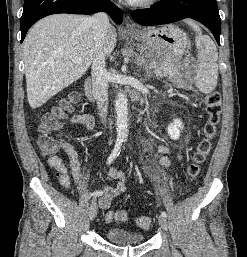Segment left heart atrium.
Masks as SVG:
<instances>
[{
    "label": "left heart atrium",
    "instance_id": "left-heart-atrium-1",
    "mask_svg": "<svg viewBox=\"0 0 247 257\" xmlns=\"http://www.w3.org/2000/svg\"><path fill=\"white\" fill-rule=\"evenodd\" d=\"M127 1H129V2H135V1H138V0H127Z\"/></svg>",
    "mask_w": 247,
    "mask_h": 257
}]
</instances>
